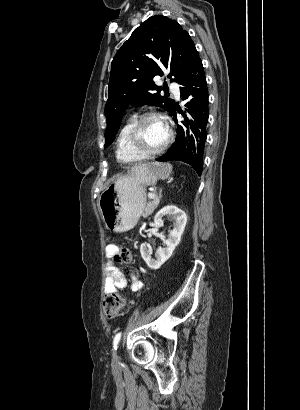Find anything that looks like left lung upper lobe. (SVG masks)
<instances>
[{
  "instance_id": "obj_1",
  "label": "left lung upper lobe",
  "mask_w": 300,
  "mask_h": 410,
  "mask_svg": "<svg viewBox=\"0 0 300 410\" xmlns=\"http://www.w3.org/2000/svg\"><path fill=\"white\" fill-rule=\"evenodd\" d=\"M196 54L188 32L168 17L152 16L135 29L111 63L105 148L113 142L130 105L158 106L172 113L174 100L160 95L166 84L157 86L153 78L168 72V78L173 77L171 82L178 83Z\"/></svg>"
}]
</instances>
